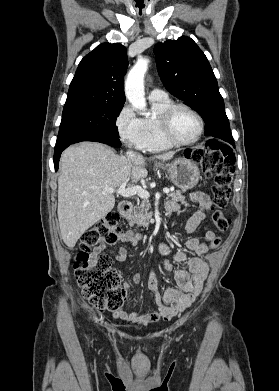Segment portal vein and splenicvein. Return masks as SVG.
Instances as JSON below:
<instances>
[{
	"instance_id": "18ae733b",
	"label": "portal vein and splenic vein",
	"mask_w": 279,
	"mask_h": 391,
	"mask_svg": "<svg viewBox=\"0 0 279 391\" xmlns=\"http://www.w3.org/2000/svg\"><path fill=\"white\" fill-rule=\"evenodd\" d=\"M128 180L124 183H122L118 189H114V188H103L106 192H109V193H116L118 195H121L123 197H130V196H133V195H138L140 198L142 199H148L150 194L147 190H145L144 188H142L141 186H131V187H128L126 188V184H127ZM163 192L165 194H169L170 190L168 188H164L163 189Z\"/></svg>"
}]
</instances>
